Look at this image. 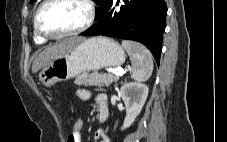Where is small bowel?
<instances>
[{"instance_id": "small-bowel-1", "label": "small bowel", "mask_w": 227, "mask_h": 142, "mask_svg": "<svg viewBox=\"0 0 227 142\" xmlns=\"http://www.w3.org/2000/svg\"><path fill=\"white\" fill-rule=\"evenodd\" d=\"M77 94L83 100H87L91 97V92L84 89L78 90ZM96 101L98 106L102 103H107L106 96L104 94H98L96 97ZM94 138L95 140H99V142H111L110 138L102 129H98L95 132ZM81 140H82V134L75 136L70 133L67 138V142H81Z\"/></svg>"}]
</instances>
